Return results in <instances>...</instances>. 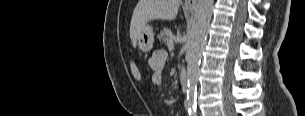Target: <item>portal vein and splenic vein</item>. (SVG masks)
I'll return each mask as SVG.
<instances>
[{"mask_svg": "<svg viewBox=\"0 0 305 116\" xmlns=\"http://www.w3.org/2000/svg\"><path fill=\"white\" fill-rule=\"evenodd\" d=\"M167 46H168L169 50L173 49L174 44H173V40L171 38L168 40Z\"/></svg>", "mask_w": 305, "mask_h": 116, "instance_id": "18ae733b", "label": "portal vein and splenic vein"}]
</instances>
